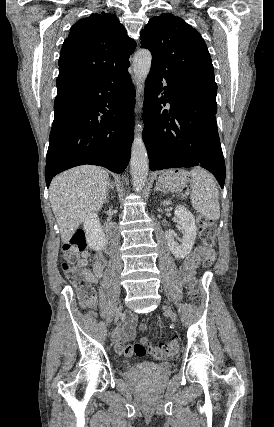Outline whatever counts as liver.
I'll return each mask as SVG.
<instances>
[{"mask_svg":"<svg viewBox=\"0 0 274 427\" xmlns=\"http://www.w3.org/2000/svg\"><path fill=\"white\" fill-rule=\"evenodd\" d=\"M109 182L107 172L98 166H78L53 178L49 198L63 243H69L86 215L102 208Z\"/></svg>","mask_w":274,"mask_h":427,"instance_id":"1","label":"liver"}]
</instances>
